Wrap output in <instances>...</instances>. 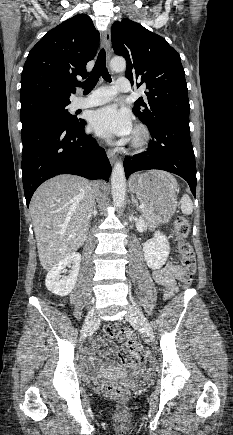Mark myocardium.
Returning a JSON list of instances; mask_svg holds the SVG:
<instances>
[{
    "mask_svg": "<svg viewBox=\"0 0 233 435\" xmlns=\"http://www.w3.org/2000/svg\"><path fill=\"white\" fill-rule=\"evenodd\" d=\"M150 137V132L145 126H136L129 141L130 149L134 151L141 150L149 142Z\"/></svg>",
    "mask_w": 233,
    "mask_h": 435,
    "instance_id": "1",
    "label": "myocardium"
}]
</instances>
